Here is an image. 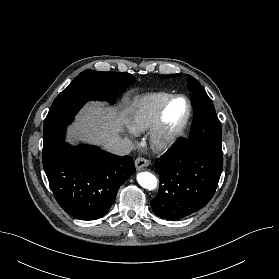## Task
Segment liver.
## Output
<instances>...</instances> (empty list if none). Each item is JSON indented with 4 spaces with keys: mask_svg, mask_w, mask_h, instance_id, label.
Instances as JSON below:
<instances>
[{
    "mask_svg": "<svg viewBox=\"0 0 279 279\" xmlns=\"http://www.w3.org/2000/svg\"><path fill=\"white\" fill-rule=\"evenodd\" d=\"M124 102H127L126 100ZM132 107L110 108L98 102L88 103L68 129L67 141L75 144L78 140L104 147L112 140L120 139L129 122Z\"/></svg>",
    "mask_w": 279,
    "mask_h": 279,
    "instance_id": "1",
    "label": "liver"
}]
</instances>
